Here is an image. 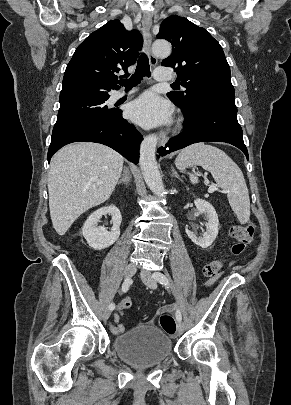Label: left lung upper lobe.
<instances>
[{"instance_id":"1","label":"left lung upper lobe","mask_w":291,"mask_h":405,"mask_svg":"<svg viewBox=\"0 0 291 405\" xmlns=\"http://www.w3.org/2000/svg\"><path fill=\"white\" fill-rule=\"evenodd\" d=\"M157 38L171 42L172 54L162 65L174 68L180 84L186 88L184 92L167 93L177 106H189L201 95L235 94L222 47L207 30L173 15L162 22Z\"/></svg>"}]
</instances>
